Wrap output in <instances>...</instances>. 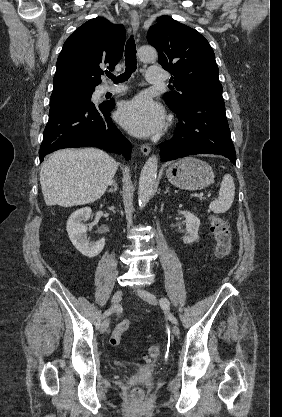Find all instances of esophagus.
Masks as SVG:
<instances>
[{
  "instance_id": "1",
  "label": "esophagus",
  "mask_w": 282,
  "mask_h": 417,
  "mask_svg": "<svg viewBox=\"0 0 282 417\" xmlns=\"http://www.w3.org/2000/svg\"><path fill=\"white\" fill-rule=\"evenodd\" d=\"M130 21L135 34H137L139 29V15L137 11L133 10L130 12ZM150 146L149 145H141V151L143 155H148L150 153Z\"/></svg>"
}]
</instances>
